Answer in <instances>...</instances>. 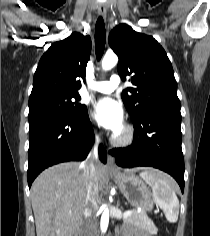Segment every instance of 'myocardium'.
<instances>
[{"mask_svg": "<svg viewBox=\"0 0 210 236\" xmlns=\"http://www.w3.org/2000/svg\"><path fill=\"white\" fill-rule=\"evenodd\" d=\"M135 137V129L133 125L131 124H126L123 129L121 134H113L111 138V142L115 146H128L130 145Z\"/></svg>", "mask_w": 210, "mask_h": 236, "instance_id": "myocardium-1", "label": "myocardium"}]
</instances>
